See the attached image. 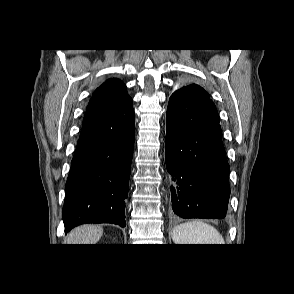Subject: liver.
I'll return each instance as SVG.
<instances>
[{"label":"liver","instance_id":"1","mask_svg":"<svg viewBox=\"0 0 294 294\" xmlns=\"http://www.w3.org/2000/svg\"><path fill=\"white\" fill-rule=\"evenodd\" d=\"M103 235L99 225H82L67 235L68 244H96Z\"/></svg>","mask_w":294,"mask_h":294}]
</instances>
